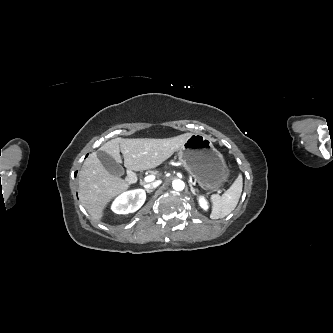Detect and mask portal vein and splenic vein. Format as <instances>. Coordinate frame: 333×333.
Returning a JSON list of instances; mask_svg holds the SVG:
<instances>
[{
  "label": "portal vein and splenic vein",
  "mask_w": 333,
  "mask_h": 333,
  "mask_svg": "<svg viewBox=\"0 0 333 333\" xmlns=\"http://www.w3.org/2000/svg\"><path fill=\"white\" fill-rule=\"evenodd\" d=\"M155 179V175H148V176H146L145 178H144V182L145 183H150V182H152L153 180Z\"/></svg>",
  "instance_id": "18ae733b"
}]
</instances>
